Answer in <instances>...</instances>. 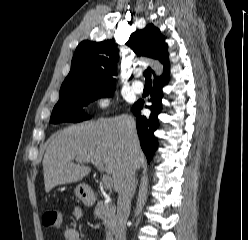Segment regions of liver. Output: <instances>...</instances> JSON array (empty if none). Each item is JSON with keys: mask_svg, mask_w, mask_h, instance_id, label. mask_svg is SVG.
<instances>
[{"mask_svg": "<svg viewBox=\"0 0 248 240\" xmlns=\"http://www.w3.org/2000/svg\"><path fill=\"white\" fill-rule=\"evenodd\" d=\"M133 127V118L121 115L72 125L57 132L43 159L46 193L57 185L77 182L87 176L91 168L82 164L86 159L104 164L105 171L112 175L114 189L118 191L130 157L134 158L136 169L141 167L144 159ZM74 159L81 165L75 164Z\"/></svg>", "mask_w": 248, "mask_h": 240, "instance_id": "obj_1", "label": "liver"}]
</instances>
